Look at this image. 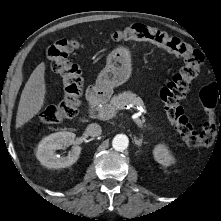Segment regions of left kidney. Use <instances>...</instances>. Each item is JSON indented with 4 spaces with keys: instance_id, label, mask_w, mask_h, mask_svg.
<instances>
[{
    "instance_id": "left-kidney-1",
    "label": "left kidney",
    "mask_w": 221,
    "mask_h": 221,
    "mask_svg": "<svg viewBox=\"0 0 221 221\" xmlns=\"http://www.w3.org/2000/svg\"><path fill=\"white\" fill-rule=\"evenodd\" d=\"M153 155L155 160L163 166H170L175 162V158L164 144H158L153 150Z\"/></svg>"
}]
</instances>
